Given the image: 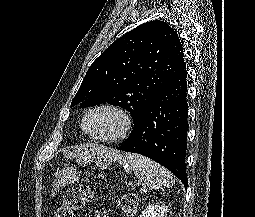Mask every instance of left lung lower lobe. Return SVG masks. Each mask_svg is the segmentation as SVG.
Here are the masks:
<instances>
[{"mask_svg": "<svg viewBox=\"0 0 255 217\" xmlns=\"http://www.w3.org/2000/svg\"><path fill=\"white\" fill-rule=\"evenodd\" d=\"M185 63L164 84L118 150L138 153L163 165L187 187L188 104Z\"/></svg>", "mask_w": 255, "mask_h": 217, "instance_id": "0a47b994", "label": "left lung lower lobe"}]
</instances>
